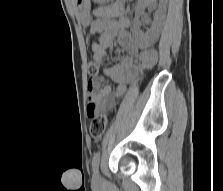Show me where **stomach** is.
<instances>
[{
    "instance_id": "0dacf381",
    "label": "stomach",
    "mask_w": 223,
    "mask_h": 191,
    "mask_svg": "<svg viewBox=\"0 0 223 191\" xmlns=\"http://www.w3.org/2000/svg\"><path fill=\"white\" fill-rule=\"evenodd\" d=\"M96 2H103L106 0H94ZM77 15L84 25L90 22V0H73Z\"/></svg>"
}]
</instances>
